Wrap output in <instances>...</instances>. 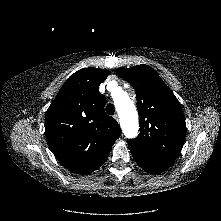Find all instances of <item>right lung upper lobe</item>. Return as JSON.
Here are the masks:
<instances>
[{"label": "right lung upper lobe", "mask_w": 221, "mask_h": 221, "mask_svg": "<svg viewBox=\"0 0 221 221\" xmlns=\"http://www.w3.org/2000/svg\"><path fill=\"white\" fill-rule=\"evenodd\" d=\"M108 71L84 68L63 84L47 110L45 134L59 162L76 173L96 168L109 155L121 129L104 112L106 98L98 87Z\"/></svg>", "instance_id": "obj_1"}]
</instances>
